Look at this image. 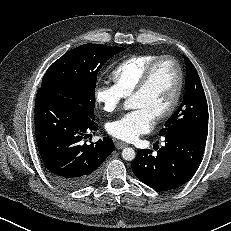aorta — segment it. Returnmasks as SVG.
Segmentation results:
<instances>
[{
  "label": "aorta",
  "mask_w": 231,
  "mask_h": 231,
  "mask_svg": "<svg viewBox=\"0 0 231 231\" xmlns=\"http://www.w3.org/2000/svg\"><path fill=\"white\" fill-rule=\"evenodd\" d=\"M124 107L125 108H130L131 107L129 101H125ZM135 156H136V153H135V151L132 148H129V147L128 148H124L123 151H122V157L126 161H132V160H134Z\"/></svg>",
  "instance_id": "1"
}]
</instances>
